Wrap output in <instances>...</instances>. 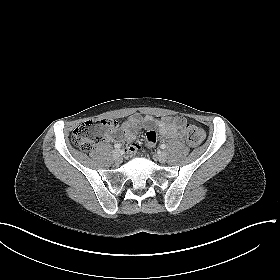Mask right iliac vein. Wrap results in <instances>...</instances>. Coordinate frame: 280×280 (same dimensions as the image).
<instances>
[{
	"mask_svg": "<svg viewBox=\"0 0 280 280\" xmlns=\"http://www.w3.org/2000/svg\"><path fill=\"white\" fill-rule=\"evenodd\" d=\"M113 158L117 163H121L122 161V154L120 150H114Z\"/></svg>",
	"mask_w": 280,
	"mask_h": 280,
	"instance_id": "63e3f726",
	"label": "right iliac vein"
}]
</instances>
